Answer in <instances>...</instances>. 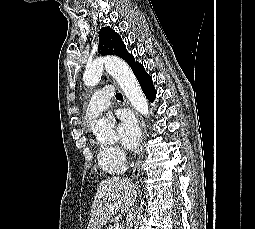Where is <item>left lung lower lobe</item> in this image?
Listing matches in <instances>:
<instances>
[{
    "instance_id": "left-lung-lower-lobe-1",
    "label": "left lung lower lobe",
    "mask_w": 255,
    "mask_h": 229,
    "mask_svg": "<svg viewBox=\"0 0 255 229\" xmlns=\"http://www.w3.org/2000/svg\"><path fill=\"white\" fill-rule=\"evenodd\" d=\"M132 70L137 77L144 94L149 101L153 102L156 97V91L151 76L146 73L143 65L138 62L133 65Z\"/></svg>"
}]
</instances>
